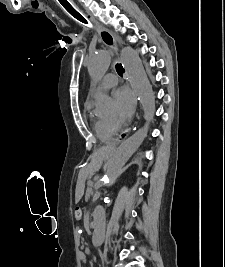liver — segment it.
I'll return each instance as SVG.
<instances>
[{"label":"liver","mask_w":225,"mask_h":267,"mask_svg":"<svg viewBox=\"0 0 225 267\" xmlns=\"http://www.w3.org/2000/svg\"><path fill=\"white\" fill-rule=\"evenodd\" d=\"M104 159H105V155L101 150L95 152L92 155L91 162L88 165L86 170L88 172L98 171L100 169ZM82 195H83V186L80 188V190L77 191L76 200L78 201L81 198Z\"/></svg>","instance_id":"1"}]
</instances>
